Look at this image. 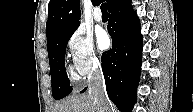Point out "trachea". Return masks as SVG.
I'll return each mask as SVG.
<instances>
[{
	"label": "trachea",
	"instance_id": "1",
	"mask_svg": "<svg viewBox=\"0 0 193 112\" xmlns=\"http://www.w3.org/2000/svg\"><path fill=\"white\" fill-rule=\"evenodd\" d=\"M100 8H101L102 14H107V5H106V3H102Z\"/></svg>",
	"mask_w": 193,
	"mask_h": 112
}]
</instances>
